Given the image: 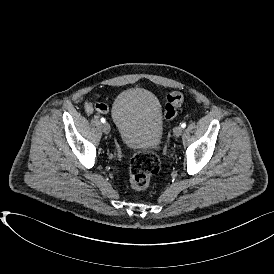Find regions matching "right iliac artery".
<instances>
[{
    "instance_id": "1",
    "label": "right iliac artery",
    "mask_w": 274,
    "mask_h": 274,
    "mask_svg": "<svg viewBox=\"0 0 274 274\" xmlns=\"http://www.w3.org/2000/svg\"><path fill=\"white\" fill-rule=\"evenodd\" d=\"M105 121H106L105 118H101L102 123H105Z\"/></svg>"
}]
</instances>
